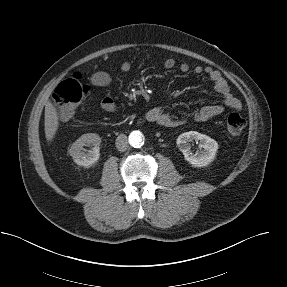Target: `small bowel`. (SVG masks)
Segmentation results:
<instances>
[{
    "instance_id": "c3829d8e",
    "label": "small bowel",
    "mask_w": 287,
    "mask_h": 287,
    "mask_svg": "<svg viewBox=\"0 0 287 287\" xmlns=\"http://www.w3.org/2000/svg\"><path fill=\"white\" fill-rule=\"evenodd\" d=\"M163 66L165 69L170 70L176 66V61L169 57L163 61ZM181 72L187 73L191 70L188 63L182 62L178 65ZM120 70L123 73H127L131 70V64L128 61L123 62L120 65ZM193 72L197 75H205L214 86V89L221 95V104H209L196 110L192 117L195 121L203 122L212 119L216 116L222 114L225 109L240 110L241 102L233 95L226 79L222 74L212 67H202L197 65L193 68ZM90 82L96 87H106L111 82L110 75L105 71H96L90 76ZM101 108L107 113H113L116 111L117 107L114 100L111 97H105L101 101ZM146 120L149 122L156 123L164 127H174L182 124L184 122L183 118L173 116L167 111H165L161 106H156L147 112L145 116ZM68 119H63V121Z\"/></svg>"
}]
</instances>
